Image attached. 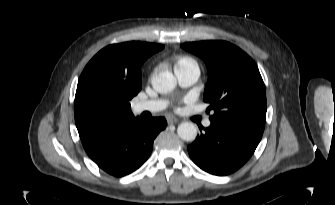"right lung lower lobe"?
<instances>
[{"label":"right lung lower lobe","instance_id":"1","mask_svg":"<svg viewBox=\"0 0 335 205\" xmlns=\"http://www.w3.org/2000/svg\"><path fill=\"white\" fill-rule=\"evenodd\" d=\"M167 125L164 117L130 119L108 133L82 140L88 156L107 173L121 177L138 169L150 156L153 142Z\"/></svg>","mask_w":335,"mask_h":205}]
</instances>
